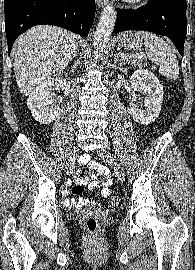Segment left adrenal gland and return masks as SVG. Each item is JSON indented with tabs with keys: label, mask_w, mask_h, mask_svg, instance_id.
Segmentation results:
<instances>
[{
	"label": "left adrenal gland",
	"mask_w": 195,
	"mask_h": 270,
	"mask_svg": "<svg viewBox=\"0 0 195 270\" xmlns=\"http://www.w3.org/2000/svg\"><path fill=\"white\" fill-rule=\"evenodd\" d=\"M117 61L120 63V65L122 64V63H121V60L119 59L118 53H115V54H114V62L116 63Z\"/></svg>",
	"instance_id": "left-adrenal-gland-1"
}]
</instances>
